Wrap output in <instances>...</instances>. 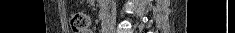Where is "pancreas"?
Segmentation results:
<instances>
[{
	"mask_svg": "<svg viewBox=\"0 0 235 33\" xmlns=\"http://www.w3.org/2000/svg\"><path fill=\"white\" fill-rule=\"evenodd\" d=\"M103 0H99V4L102 5Z\"/></svg>",
	"mask_w": 235,
	"mask_h": 33,
	"instance_id": "1",
	"label": "pancreas"
}]
</instances>
